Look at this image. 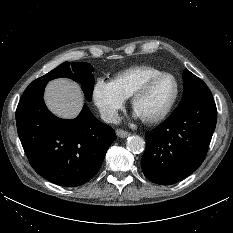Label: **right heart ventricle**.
<instances>
[{
    "instance_id": "right-heart-ventricle-1",
    "label": "right heart ventricle",
    "mask_w": 233,
    "mask_h": 233,
    "mask_svg": "<svg viewBox=\"0 0 233 233\" xmlns=\"http://www.w3.org/2000/svg\"><path fill=\"white\" fill-rule=\"evenodd\" d=\"M163 72L151 65H138L119 72L112 83L116 90L125 98H130L135 90L149 77Z\"/></svg>"
}]
</instances>
